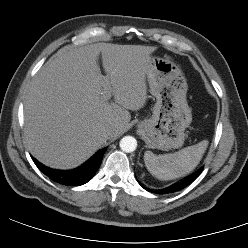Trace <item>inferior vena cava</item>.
I'll return each mask as SVG.
<instances>
[{"label": "inferior vena cava", "instance_id": "inferior-vena-cava-1", "mask_svg": "<svg viewBox=\"0 0 248 248\" xmlns=\"http://www.w3.org/2000/svg\"><path fill=\"white\" fill-rule=\"evenodd\" d=\"M104 132L107 137H112L115 132V129L113 127H108L105 129Z\"/></svg>", "mask_w": 248, "mask_h": 248}]
</instances>
